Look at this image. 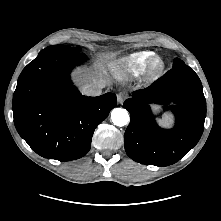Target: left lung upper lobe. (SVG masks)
<instances>
[{
  "mask_svg": "<svg viewBox=\"0 0 221 221\" xmlns=\"http://www.w3.org/2000/svg\"><path fill=\"white\" fill-rule=\"evenodd\" d=\"M181 65H185V63H184L182 60L176 58V59L174 60L173 67L181 66Z\"/></svg>",
  "mask_w": 221,
  "mask_h": 221,
  "instance_id": "obj_1",
  "label": "left lung upper lobe"
}]
</instances>
